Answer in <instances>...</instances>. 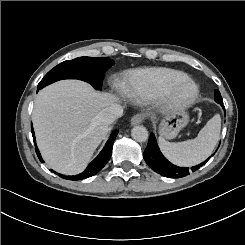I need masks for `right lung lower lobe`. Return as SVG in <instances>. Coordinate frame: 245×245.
Masks as SVG:
<instances>
[{
    "mask_svg": "<svg viewBox=\"0 0 245 245\" xmlns=\"http://www.w3.org/2000/svg\"><path fill=\"white\" fill-rule=\"evenodd\" d=\"M38 92V90H37ZM32 127V126H31ZM118 134V130H115L111 133L110 138L108 139L107 143L105 144L104 148L102 149V151L100 152V154L88 165V167L85 169L84 172L75 175V176H64V175H60L62 178L64 179H68V180H82L88 177H91L93 175H95L96 173H98L104 166L105 164L108 162V160L110 159L111 155H112V147H113V142L116 138ZM32 135H33V140L35 143V136H34V131L32 128ZM35 148H36V153L38 158L40 159L41 162H44L41 158V155L39 153V150L35 144Z\"/></svg>",
    "mask_w": 245,
    "mask_h": 245,
    "instance_id": "1",
    "label": "right lung lower lobe"
}]
</instances>
